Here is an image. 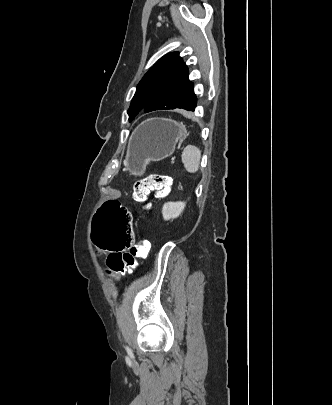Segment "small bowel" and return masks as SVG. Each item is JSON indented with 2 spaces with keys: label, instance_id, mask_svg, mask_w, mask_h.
Wrapping results in <instances>:
<instances>
[{
  "label": "small bowel",
  "instance_id": "1",
  "mask_svg": "<svg viewBox=\"0 0 332 405\" xmlns=\"http://www.w3.org/2000/svg\"><path fill=\"white\" fill-rule=\"evenodd\" d=\"M117 255V254H116ZM111 257H107V264L109 265V260Z\"/></svg>",
  "mask_w": 332,
  "mask_h": 405
}]
</instances>
